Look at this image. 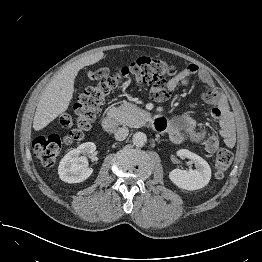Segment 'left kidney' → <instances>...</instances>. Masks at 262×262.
Masks as SVG:
<instances>
[{"instance_id": "5707ae66", "label": "left kidney", "mask_w": 262, "mask_h": 262, "mask_svg": "<svg viewBox=\"0 0 262 262\" xmlns=\"http://www.w3.org/2000/svg\"><path fill=\"white\" fill-rule=\"evenodd\" d=\"M180 157L190 159L195 169H174L169 173L170 180L179 188L185 190H197L206 186L211 179V168L200 156L186 149L177 152Z\"/></svg>"}]
</instances>
